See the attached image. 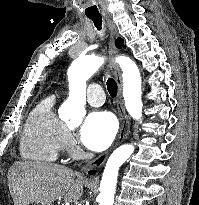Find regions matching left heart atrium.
<instances>
[{
  "label": "left heart atrium",
  "mask_w": 199,
  "mask_h": 205,
  "mask_svg": "<svg viewBox=\"0 0 199 205\" xmlns=\"http://www.w3.org/2000/svg\"><path fill=\"white\" fill-rule=\"evenodd\" d=\"M117 132V122L114 116L106 111L90 113L81 129L82 144L92 151H102L113 142Z\"/></svg>",
  "instance_id": "left-heart-atrium-1"
}]
</instances>
